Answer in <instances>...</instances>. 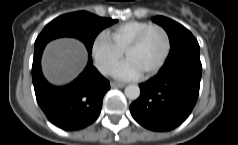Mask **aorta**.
Instances as JSON below:
<instances>
[{
	"label": "aorta",
	"instance_id": "1",
	"mask_svg": "<svg viewBox=\"0 0 238 145\" xmlns=\"http://www.w3.org/2000/svg\"><path fill=\"white\" fill-rule=\"evenodd\" d=\"M125 95L130 100H136L140 96V88L137 85H128L125 88Z\"/></svg>",
	"mask_w": 238,
	"mask_h": 145
}]
</instances>
